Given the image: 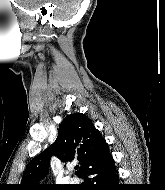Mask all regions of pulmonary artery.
<instances>
[{"label": "pulmonary artery", "mask_w": 165, "mask_h": 190, "mask_svg": "<svg viewBox=\"0 0 165 190\" xmlns=\"http://www.w3.org/2000/svg\"><path fill=\"white\" fill-rule=\"evenodd\" d=\"M77 182V180L75 179V178H71L70 180H69V183H76Z\"/></svg>", "instance_id": "obj_1"}]
</instances>
